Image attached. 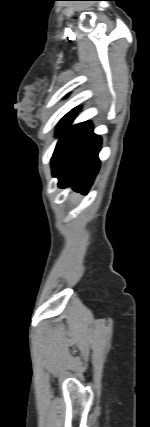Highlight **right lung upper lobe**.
Masks as SVG:
<instances>
[{
	"label": "right lung upper lobe",
	"mask_w": 150,
	"mask_h": 427,
	"mask_svg": "<svg viewBox=\"0 0 150 427\" xmlns=\"http://www.w3.org/2000/svg\"><path fill=\"white\" fill-rule=\"evenodd\" d=\"M73 110H79V108L77 107V108H74Z\"/></svg>",
	"instance_id": "1"
}]
</instances>
